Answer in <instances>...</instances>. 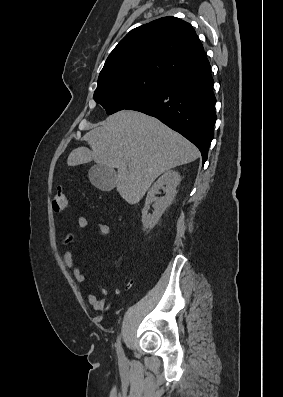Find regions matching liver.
<instances>
[{
	"mask_svg": "<svg viewBox=\"0 0 283 397\" xmlns=\"http://www.w3.org/2000/svg\"><path fill=\"white\" fill-rule=\"evenodd\" d=\"M86 147L74 149L68 166L91 161L117 168L115 186L129 204L138 203L154 180L177 166L195 161L200 152L158 119L138 111L121 110L89 131Z\"/></svg>",
	"mask_w": 283,
	"mask_h": 397,
	"instance_id": "liver-1",
	"label": "liver"
}]
</instances>
